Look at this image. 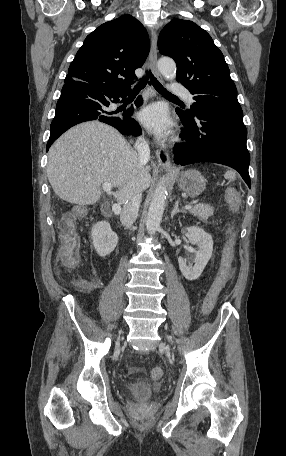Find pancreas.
Instances as JSON below:
<instances>
[{
	"label": "pancreas",
	"mask_w": 286,
	"mask_h": 456,
	"mask_svg": "<svg viewBox=\"0 0 286 456\" xmlns=\"http://www.w3.org/2000/svg\"><path fill=\"white\" fill-rule=\"evenodd\" d=\"M189 212L202 221H206L214 213V208L209 204H197L189 209Z\"/></svg>",
	"instance_id": "1"
}]
</instances>
